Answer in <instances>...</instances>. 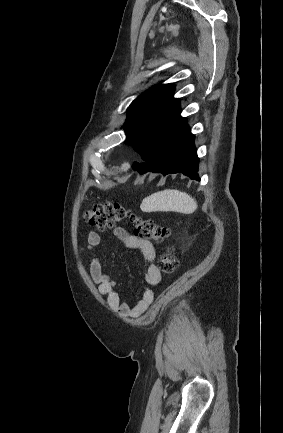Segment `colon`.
I'll return each mask as SVG.
<instances>
[{"label":"colon","instance_id":"5ec220e1","mask_svg":"<svg viewBox=\"0 0 283 433\" xmlns=\"http://www.w3.org/2000/svg\"><path fill=\"white\" fill-rule=\"evenodd\" d=\"M84 221L97 230H105L128 220L133 226V233L138 239L154 240L163 243L170 235L169 228L152 219L140 217L116 202L93 204L83 215ZM178 267V258L174 249L167 245L159 259L160 271L172 275Z\"/></svg>","mask_w":283,"mask_h":433}]
</instances>
